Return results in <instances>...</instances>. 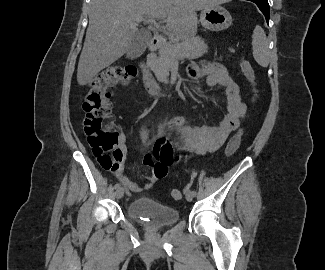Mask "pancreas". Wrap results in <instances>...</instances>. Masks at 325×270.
I'll return each instance as SVG.
<instances>
[{
    "label": "pancreas",
    "instance_id": "1",
    "mask_svg": "<svg viewBox=\"0 0 325 270\" xmlns=\"http://www.w3.org/2000/svg\"><path fill=\"white\" fill-rule=\"evenodd\" d=\"M208 47L199 37L183 40L182 42L170 41L159 49V56L152 66V70L161 83H168L170 70L179 60L197 59L207 53ZM231 52H234L231 50Z\"/></svg>",
    "mask_w": 325,
    "mask_h": 270
}]
</instances>
